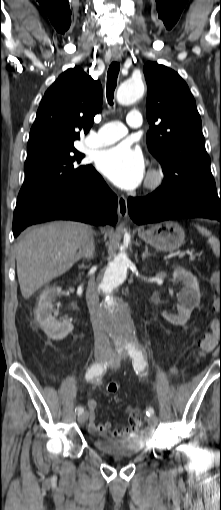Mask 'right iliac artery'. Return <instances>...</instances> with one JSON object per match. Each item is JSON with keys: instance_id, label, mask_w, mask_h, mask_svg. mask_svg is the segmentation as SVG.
<instances>
[{"instance_id": "1", "label": "right iliac artery", "mask_w": 221, "mask_h": 510, "mask_svg": "<svg viewBox=\"0 0 221 510\" xmlns=\"http://www.w3.org/2000/svg\"><path fill=\"white\" fill-rule=\"evenodd\" d=\"M107 369V363H93L88 369L85 378L87 381L100 377ZM76 412L79 414L84 412L83 407H77Z\"/></svg>"}]
</instances>
